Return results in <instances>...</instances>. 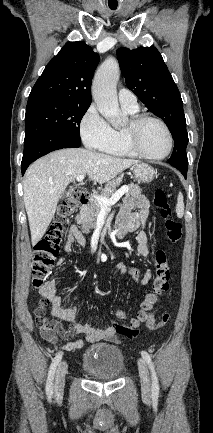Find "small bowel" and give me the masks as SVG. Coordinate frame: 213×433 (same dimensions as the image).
<instances>
[{"label": "small bowel", "mask_w": 213, "mask_h": 433, "mask_svg": "<svg viewBox=\"0 0 213 433\" xmlns=\"http://www.w3.org/2000/svg\"><path fill=\"white\" fill-rule=\"evenodd\" d=\"M149 201L144 196H136L127 198L117 217V227L125 226L130 231L141 230L137 233V252L143 257H148L151 252V247L148 240V235L145 230L146 221L149 215ZM74 243L81 246L86 245V240L77 226L71 225L67 230V235L64 243V250L72 252ZM66 260L61 259L59 265L65 266ZM115 269L121 275L130 276L137 281L141 286H147L152 278V271L147 269L142 273L138 268L129 267L124 263H117ZM40 295L45 301L51 305V314L54 318L67 322L70 325L68 330H63L56 321H51L50 326L45 329H40L41 336L52 344L57 343L58 335L63 338H68L74 334L83 335L82 338L68 342L59 348L66 351L81 349L87 344H91L100 340L118 341L116 329L113 327L96 328L91 325L80 323L77 321V310L73 306H65L57 292L56 285L53 280L47 281L40 289ZM125 317V315H124Z\"/></svg>", "instance_id": "obj_1"}]
</instances>
